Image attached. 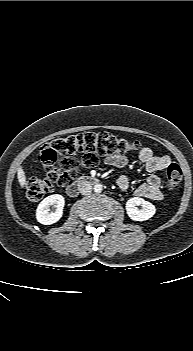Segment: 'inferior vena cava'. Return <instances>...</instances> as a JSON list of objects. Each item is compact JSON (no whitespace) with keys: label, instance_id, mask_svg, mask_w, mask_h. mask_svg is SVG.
Segmentation results:
<instances>
[{"label":"inferior vena cava","instance_id":"602c4592","mask_svg":"<svg viewBox=\"0 0 193 351\" xmlns=\"http://www.w3.org/2000/svg\"><path fill=\"white\" fill-rule=\"evenodd\" d=\"M79 191L82 195H88L91 193L92 191V186L90 183L88 182H84L81 184L80 188H79Z\"/></svg>","mask_w":193,"mask_h":351}]
</instances>
